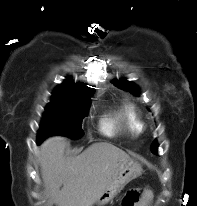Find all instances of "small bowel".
<instances>
[{"label": "small bowel", "instance_id": "1", "mask_svg": "<svg viewBox=\"0 0 197 206\" xmlns=\"http://www.w3.org/2000/svg\"><path fill=\"white\" fill-rule=\"evenodd\" d=\"M145 195L148 196V195H149V192H146ZM137 202H138V201H137ZM137 202H135L134 204H132V206H137V204H136Z\"/></svg>", "mask_w": 197, "mask_h": 206}]
</instances>
